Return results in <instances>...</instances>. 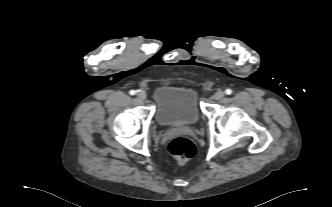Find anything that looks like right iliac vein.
Returning <instances> with one entry per match:
<instances>
[{"label": "right iliac vein", "mask_w": 332, "mask_h": 207, "mask_svg": "<svg viewBox=\"0 0 332 207\" xmlns=\"http://www.w3.org/2000/svg\"><path fill=\"white\" fill-rule=\"evenodd\" d=\"M137 98L140 100V101H144L146 99V93L143 92V91H140L137 93Z\"/></svg>", "instance_id": "1"}]
</instances>
